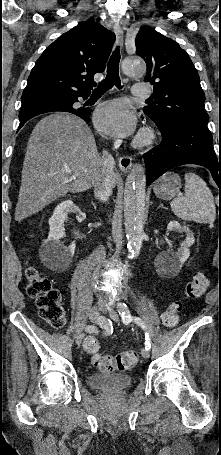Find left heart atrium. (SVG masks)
<instances>
[{"label": "left heart atrium", "instance_id": "1", "mask_svg": "<svg viewBox=\"0 0 221 455\" xmlns=\"http://www.w3.org/2000/svg\"><path fill=\"white\" fill-rule=\"evenodd\" d=\"M94 122L103 133L113 137L131 135L136 127V117L121 101L101 105L94 114Z\"/></svg>", "mask_w": 221, "mask_h": 455}]
</instances>
